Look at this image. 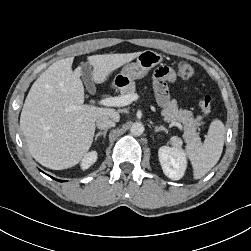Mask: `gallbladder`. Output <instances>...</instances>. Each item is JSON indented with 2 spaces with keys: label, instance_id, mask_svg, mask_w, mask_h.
Masks as SVG:
<instances>
[{
  "label": "gallbladder",
  "instance_id": "obj_1",
  "mask_svg": "<svg viewBox=\"0 0 251 251\" xmlns=\"http://www.w3.org/2000/svg\"><path fill=\"white\" fill-rule=\"evenodd\" d=\"M81 76L85 82L89 93L94 94L96 92L95 85L93 83L92 67L89 63H83L80 67Z\"/></svg>",
  "mask_w": 251,
  "mask_h": 251
}]
</instances>
